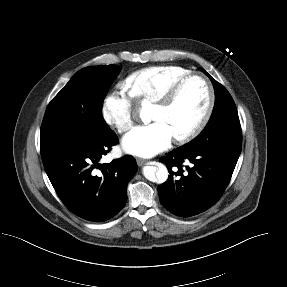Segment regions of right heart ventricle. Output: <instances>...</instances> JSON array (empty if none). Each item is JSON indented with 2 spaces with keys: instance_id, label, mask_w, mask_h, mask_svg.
Returning a JSON list of instances; mask_svg holds the SVG:
<instances>
[{
  "instance_id": "right-heart-ventricle-1",
  "label": "right heart ventricle",
  "mask_w": 287,
  "mask_h": 287,
  "mask_svg": "<svg viewBox=\"0 0 287 287\" xmlns=\"http://www.w3.org/2000/svg\"><path fill=\"white\" fill-rule=\"evenodd\" d=\"M190 72L176 65L147 67L130 74L126 86L134 98L156 102L178 79Z\"/></svg>"
}]
</instances>
